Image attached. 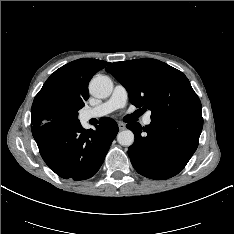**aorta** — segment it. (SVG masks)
<instances>
[{"label":"aorta","instance_id":"1","mask_svg":"<svg viewBox=\"0 0 234 234\" xmlns=\"http://www.w3.org/2000/svg\"><path fill=\"white\" fill-rule=\"evenodd\" d=\"M89 89L93 96L106 98L112 93L113 83L109 77L98 75L90 81ZM117 141L122 146H131L134 142V134L128 129L122 130L117 135Z\"/></svg>","mask_w":234,"mask_h":234}]
</instances>
